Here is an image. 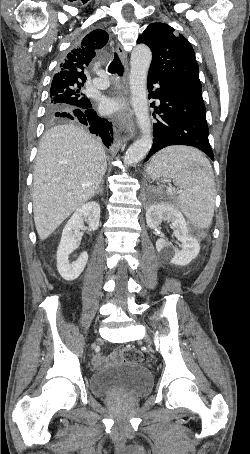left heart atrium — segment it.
I'll list each match as a JSON object with an SVG mask.
<instances>
[{
	"label": "left heart atrium",
	"mask_w": 250,
	"mask_h": 454,
	"mask_svg": "<svg viewBox=\"0 0 250 454\" xmlns=\"http://www.w3.org/2000/svg\"><path fill=\"white\" fill-rule=\"evenodd\" d=\"M121 108V102L113 98H104L100 102V110L103 114H112Z\"/></svg>",
	"instance_id": "39dd6f15"
}]
</instances>
